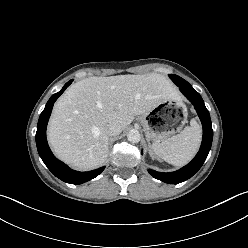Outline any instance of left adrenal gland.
Listing matches in <instances>:
<instances>
[{
    "mask_svg": "<svg viewBox=\"0 0 248 248\" xmlns=\"http://www.w3.org/2000/svg\"><path fill=\"white\" fill-rule=\"evenodd\" d=\"M149 153H150V155H151V156L153 155V152H152L151 150H150V152H149ZM152 157H153V156H152Z\"/></svg>",
    "mask_w": 248,
    "mask_h": 248,
    "instance_id": "1",
    "label": "left adrenal gland"
}]
</instances>
